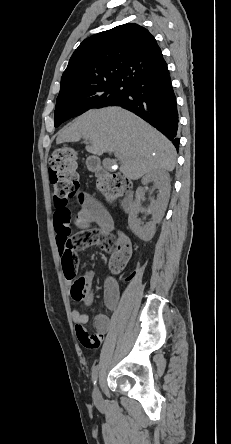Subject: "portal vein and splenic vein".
<instances>
[{"label":"portal vein and splenic vein","mask_w":231,"mask_h":444,"mask_svg":"<svg viewBox=\"0 0 231 444\" xmlns=\"http://www.w3.org/2000/svg\"><path fill=\"white\" fill-rule=\"evenodd\" d=\"M115 157L118 158V159H120V160L122 159V156H121L120 153H115Z\"/></svg>","instance_id":"18ae733b"}]
</instances>
